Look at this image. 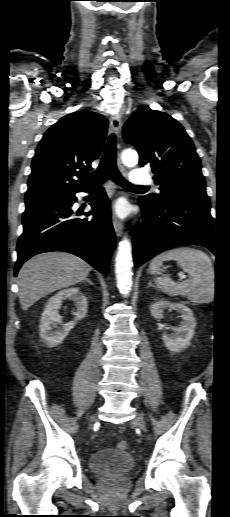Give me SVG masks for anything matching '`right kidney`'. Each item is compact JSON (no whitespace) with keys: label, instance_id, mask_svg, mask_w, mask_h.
I'll list each match as a JSON object with an SVG mask.
<instances>
[{"label":"right kidney","instance_id":"right-kidney-1","mask_svg":"<svg viewBox=\"0 0 230 517\" xmlns=\"http://www.w3.org/2000/svg\"><path fill=\"white\" fill-rule=\"evenodd\" d=\"M72 300L75 303V319L62 324L59 309L64 300ZM87 314V298L81 293L80 288L72 287L59 291L48 300L41 316L40 337L41 343L47 347H55L63 342L76 322ZM58 325H62L60 328Z\"/></svg>","mask_w":230,"mask_h":517}]
</instances>
